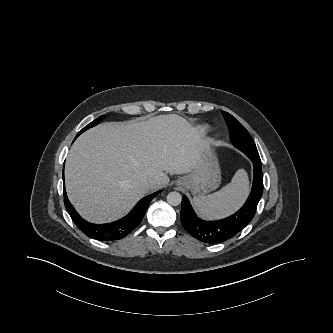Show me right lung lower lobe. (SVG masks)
I'll return each instance as SVG.
<instances>
[{"mask_svg":"<svg viewBox=\"0 0 333 333\" xmlns=\"http://www.w3.org/2000/svg\"><path fill=\"white\" fill-rule=\"evenodd\" d=\"M77 137L78 136H76V138ZM159 192L160 191L144 197L136 204L128 215L118 221L108 224H92L81 218L68 200L65 187L64 204L73 222L83 233L90 238L100 241H113L125 237L141 223L149 203Z\"/></svg>","mask_w":333,"mask_h":333,"instance_id":"1","label":"right lung lower lobe"}]
</instances>
